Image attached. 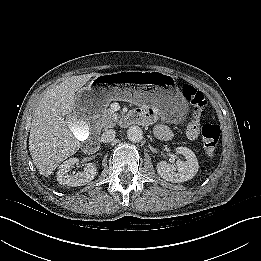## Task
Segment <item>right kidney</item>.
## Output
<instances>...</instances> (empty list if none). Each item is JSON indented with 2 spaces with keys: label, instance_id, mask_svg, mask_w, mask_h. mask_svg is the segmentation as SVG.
Wrapping results in <instances>:
<instances>
[{
  "label": "right kidney",
  "instance_id": "obj_1",
  "mask_svg": "<svg viewBox=\"0 0 261 261\" xmlns=\"http://www.w3.org/2000/svg\"><path fill=\"white\" fill-rule=\"evenodd\" d=\"M70 119L75 121L73 117H71ZM82 138L85 139L86 135H83ZM78 162L79 159L73 157L64 161L63 164L59 166L57 171V181L59 182V184L77 187L83 186L94 179L97 173V168L93 163H87L82 172H79L75 175L69 174L70 168H72Z\"/></svg>",
  "mask_w": 261,
  "mask_h": 261
}]
</instances>
